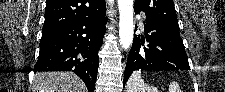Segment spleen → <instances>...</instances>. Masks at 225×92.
<instances>
[{"instance_id":"spleen-1","label":"spleen","mask_w":225,"mask_h":92,"mask_svg":"<svg viewBox=\"0 0 225 92\" xmlns=\"http://www.w3.org/2000/svg\"><path fill=\"white\" fill-rule=\"evenodd\" d=\"M127 92H159L157 87L147 85L141 77V71H134L126 84ZM169 92H181L178 84L172 81Z\"/></svg>"}]
</instances>
